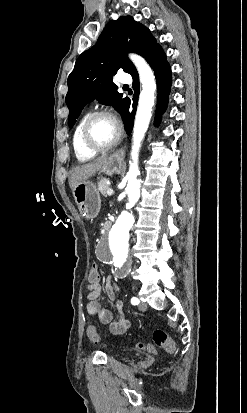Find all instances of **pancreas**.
I'll use <instances>...</instances> for the list:
<instances>
[{
	"instance_id": "cf45deb5",
	"label": "pancreas",
	"mask_w": 247,
	"mask_h": 413,
	"mask_svg": "<svg viewBox=\"0 0 247 413\" xmlns=\"http://www.w3.org/2000/svg\"><path fill=\"white\" fill-rule=\"evenodd\" d=\"M108 178H100L98 182V190H100L101 194L106 196L108 188H110V184H107Z\"/></svg>"
}]
</instances>
